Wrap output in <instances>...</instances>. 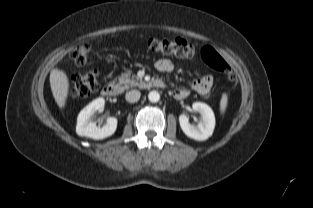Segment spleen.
Masks as SVG:
<instances>
[{"mask_svg":"<svg viewBox=\"0 0 313 208\" xmlns=\"http://www.w3.org/2000/svg\"><path fill=\"white\" fill-rule=\"evenodd\" d=\"M226 106H227V96L224 94L220 102V110L222 113L225 111Z\"/></svg>","mask_w":313,"mask_h":208,"instance_id":"1","label":"spleen"}]
</instances>
